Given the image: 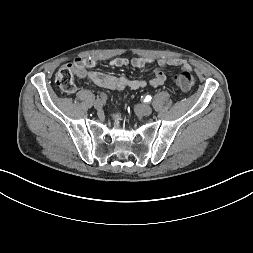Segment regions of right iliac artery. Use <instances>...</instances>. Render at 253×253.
Masks as SVG:
<instances>
[{"label": "right iliac artery", "instance_id": "82829eb1", "mask_svg": "<svg viewBox=\"0 0 253 253\" xmlns=\"http://www.w3.org/2000/svg\"><path fill=\"white\" fill-rule=\"evenodd\" d=\"M108 97L105 93H101L100 95L97 96V99H102V100H106Z\"/></svg>", "mask_w": 253, "mask_h": 253}]
</instances>
